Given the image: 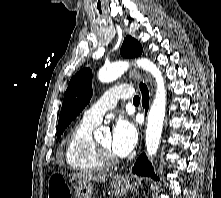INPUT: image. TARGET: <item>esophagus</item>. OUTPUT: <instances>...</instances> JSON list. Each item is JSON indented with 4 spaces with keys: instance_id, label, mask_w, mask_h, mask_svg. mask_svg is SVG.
Returning a JSON list of instances; mask_svg holds the SVG:
<instances>
[{
    "instance_id": "esophagus-1",
    "label": "esophagus",
    "mask_w": 221,
    "mask_h": 198,
    "mask_svg": "<svg viewBox=\"0 0 221 198\" xmlns=\"http://www.w3.org/2000/svg\"><path fill=\"white\" fill-rule=\"evenodd\" d=\"M129 77L132 80L137 81V82L141 80V76H140V74H139V72L137 71L136 68H130Z\"/></svg>"
}]
</instances>
